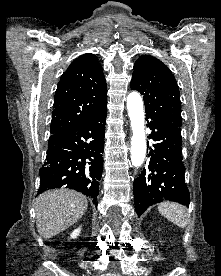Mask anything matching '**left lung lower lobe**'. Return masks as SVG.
I'll return each mask as SVG.
<instances>
[{
    "mask_svg": "<svg viewBox=\"0 0 221 276\" xmlns=\"http://www.w3.org/2000/svg\"><path fill=\"white\" fill-rule=\"evenodd\" d=\"M148 127L152 130L148 138L154 141L153 148L150 149L146 167L133 184L138 215L164 199L183 205L190 202V194L184 180L181 129L153 120L148 121Z\"/></svg>",
    "mask_w": 221,
    "mask_h": 276,
    "instance_id": "1",
    "label": "left lung lower lobe"
}]
</instances>
